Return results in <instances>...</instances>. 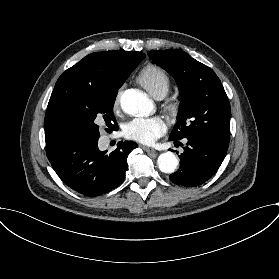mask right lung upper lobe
<instances>
[{
    "mask_svg": "<svg viewBox=\"0 0 279 279\" xmlns=\"http://www.w3.org/2000/svg\"><path fill=\"white\" fill-rule=\"evenodd\" d=\"M144 58L145 54L135 51H104L89 54L59 77L50 100L67 87L113 84L126 80ZM45 140L47 156L52 161L60 154L47 135Z\"/></svg>",
    "mask_w": 279,
    "mask_h": 279,
    "instance_id": "cb5924a9",
    "label": "right lung upper lobe"
}]
</instances>
